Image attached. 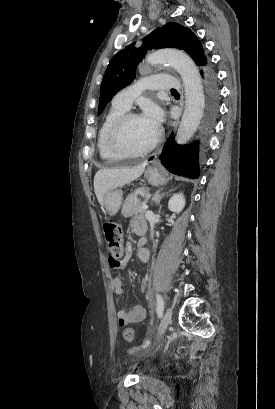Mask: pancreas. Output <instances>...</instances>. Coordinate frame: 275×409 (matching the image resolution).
<instances>
[{
  "instance_id": "obj_1",
  "label": "pancreas",
  "mask_w": 275,
  "mask_h": 409,
  "mask_svg": "<svg viewBox=\"0 0 275 409\" xmlns=\"http://www.w3.org/2000/svg\"><path fill=\"white\" fill-rule=\"evenodd\" d=\"M148 190L147 186H140V188H136L134 192L128 194L121 211L123 217H132L134 213H145L146 209H141L140 207L141 202L138 194L148 196Z\"/></svg>"
}]
</instances>
